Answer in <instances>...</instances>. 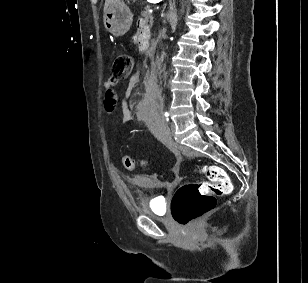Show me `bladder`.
Returning a JSON list of instances; mask_svg holds the SVG:
<instances>
[{"instance_id":"bladder-1","label":"bladder","mask_w":308,"mask_h":283,"mask_svg":"<svg viewBox=\"0 0 308 283\" xmlns=\"http://www.w3.org/2000/svg\"><path fill=\"white\" fill-rule=\"evenodd\" d=\"M144 212L149 215L161 217L164 215V207L160 196L150 198L144 206Z\"/></svg>"}]
</instances>
